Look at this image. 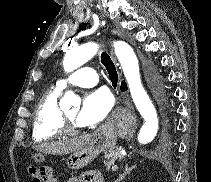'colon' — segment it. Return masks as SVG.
I'll list each match as a JSON object with an SVG mask.
<instances>
[{"label": "colon", "instance_id": "5ec220e1", "mask_svg": "<svg viewBox=\"0 0 211 182\" xmlns=\"http://www.w3.org/2000/svg\"><path fill=\"white\" fill-rule=\"evenodd\" d=\"M30 173L39 182H56L53 170L49 167H32Z\"/></svg>", "mask_w": 211, "mask_h": 182}]
</instances>
